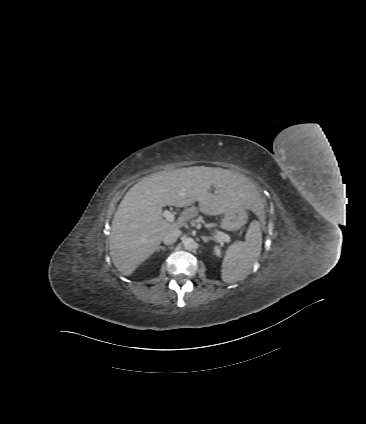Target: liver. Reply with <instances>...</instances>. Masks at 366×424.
Returning a JSON list of instances; mask_svg holds the SVG:
<instances>
[{
    "mask_svg": "<svg viewBox=\"0 0 366 424\" xmlns=\"http://www.w3.org/2000/svg\"><path fill=\"white\" fill-rule=\"evenodd\" d=\"M165 205L185 209L169 222L163 219ZM263 207L255 185L236 172L204 166L158 172L130 188L119 204L112 221L110 256L118 271L129 276L157 250L166 232L183 227L199 212L214 216L249 209L258 215Z\"/></svg>",
    "mask_w": 366,
    "mask_h": 424,
    "instance_id": "obj_1",
    "label": "liver"
}]
</instances>
